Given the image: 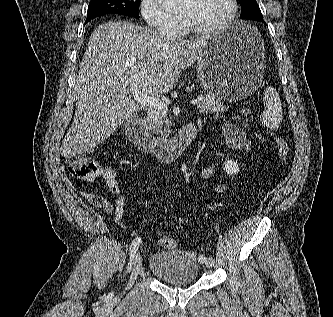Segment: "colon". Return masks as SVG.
Returning a JSON list of instances; mask_svg holds the SVG:
<instances>
[{
  "label": "colon",
  "mask_w": 333,
  "mask_h": 317,
  "mask_svg": "<svg viewBox=\"0 0 333 317\" xmlns=\"http://www.w3.org/2000/svg\"><path fill=\"white\" fill-rule=\"evenodd\" d=\"M241 114L249 116L251 114V109L243 108L241 109ZM275 141L278 155L282 161H285L289 155L288 143L282 137H277ZM68 171L73 177L79 180L93 182L99 175V166L92 157L80 156L69 161ZM157 243L165 249H173L177 246V241L168 236L158 237Z\"/></svg>",
  "instance_id": "obj_1"
}]
</instances>
